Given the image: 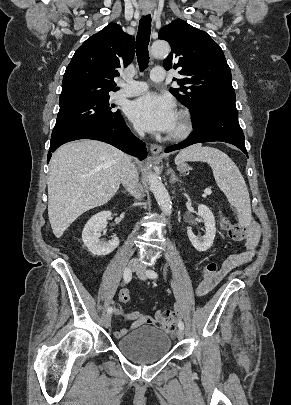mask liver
<instances>
[{
    "label": "liver",
    "instance_id": "6515ba94",
    "mask_svg": "<svg viewBox=\"0 0 291 405\" xmlns=\"http://www.w3.org/2000/svg\"><path fill=\"white\" fill-rule=\"evenodd\" d=\"M125 156L96 140L70 142L54 152L47 181L48 216L57 238L84 212L115 195Z\"/></svg>",
    "mask_w": 291,
    "mask_h": 405
}]
</instances>
